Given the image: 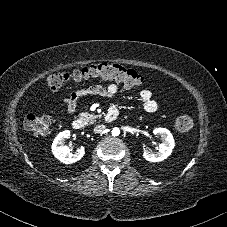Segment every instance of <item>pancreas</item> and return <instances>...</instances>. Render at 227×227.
Wrapping results in <instances>:
<instances>
[{
    "instance_id": "1",
    "label": "pancreas",
    "mask_w": 227,
    "mask_h": 227,
    "mask_svg": "<svg viewBox=\"0 0 227 227\" xmlns=\"http://www.w3.org/2000/svg\"><path fill=\"white\" fill-rule=\"evenodd\" d=\"M79 116L87 120L90 124H92L98 118L97 116L89 114L88 112H82L79 114Z\"/></svg>"
}]
</instances>
